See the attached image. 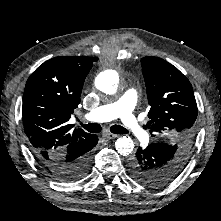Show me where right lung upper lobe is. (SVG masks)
Returning a JSON list of instances; mask_svg holds the SVG:
<instances>
[{
  "instance_id": "right-lung-upper-lobe-1",
  "label": "right lung upper lobe",
  "mask_w": 221,
  "mask_h": 221,
  "mask_svg": "<svg viewBox=\"0 0 221 221\" xmlns=\"http://www.w3.org/2000/svg\"><path fill=\"white\" fill-rule=\"evenodd\" d=\"M97 58L55 57L29 77L23 96V124L35 155L84 149L92 134L68 123L80 103L84 80Z\"/></svg>"
}]
</instances>
